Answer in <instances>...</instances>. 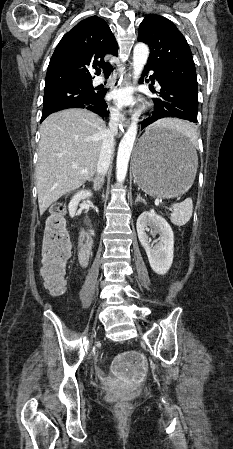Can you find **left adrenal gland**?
<instances>
[{
	"label": "left adrenal gland",
	"instance_id": "left-adrenal-gland-1",
	"mask_svg": "<svg viewBox=\"0 0 233 449\" xmlns=\"http://www.w3.org/2000/svg\"><path fill=\"white\" fill-rule=\"evenodd\" d=\"M138 202H143V203H145V201L140 197V195H137V198H136V200H135V203H138Z\"/></svg>",
	"mask_w": 233,
	"mask_h": 449
}]
</instances>
